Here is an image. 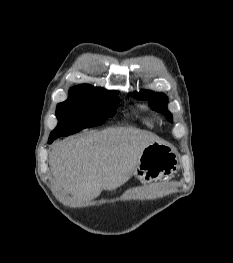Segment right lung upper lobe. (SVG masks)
Segmentation results:
<instances>
[{
    "label": "right lung upper lobe",
    "instance_id": "cb5924a9",
    "mask_svg": "<svg viewBox=\"0 0 233 263\" xmlns=\"http://www.w3.org/2000/svg\"><path fill=\"white\" fill-rule=\"evenodd\" d=\"M107 93L109 92L101 88H97L89 84H81L70 89L69 97H96Z\"/></svg>",
    "mask_w": 233,
    "mask_h": 263
}]
</instances>
